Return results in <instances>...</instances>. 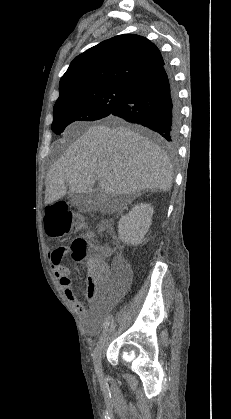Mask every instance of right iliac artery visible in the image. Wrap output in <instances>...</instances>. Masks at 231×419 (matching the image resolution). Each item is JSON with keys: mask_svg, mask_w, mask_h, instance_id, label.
Wrapping results in <instances>:
<instances>
[{"mask_svg": "<svg viewBox=\"0 0 231 419\" xmlns=\"http://www.w3.org/2000/svg\"><path fill=\"white\" fill-rule=\"evenodd\" d=\"M108 326H109V318H106L104 323H103V334L108 330Z\"/></svg>", "mask_w": 231, "mask_h": 419, "instance_id": "obj_1", "label": "right iliac artery"}]
</instances>
